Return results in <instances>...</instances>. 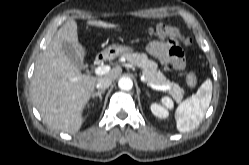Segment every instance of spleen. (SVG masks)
<instances>
[{
    "instance_id": "1",
    "label": "spleen",
    "mask_w": 249,
    "mask_h": 165,
    "mask_svg": "<svg viewBox=\"0 0 249 165\" xmlns=\"http://www.w3.org/2000/svg\"><path fill=\"white\" fill-rule=\"evenodd\" d=\"M212 88V81L208 78L195 95L179 104L175 112L176 127L179 132H188L199 125L210 105ZM161 102L169 109L174 107L172 99L167 96L162 97Z\"/></svg>"
}]
</instances>
